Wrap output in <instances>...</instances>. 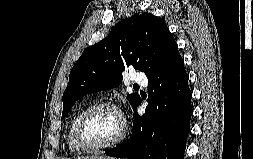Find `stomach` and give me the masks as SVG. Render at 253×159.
Returning a JSON list of instances; mask_svg holds the SVG:
<instances>
[{
  "mask_svg": "<svg viewBox=\"0 0 253 159\" xmlns=\"http://www.w3.org/2000/svg\"><path fill=\"white\" fill-rule=\"evenodd\" d=\"M102 159H116V158H102Z\"/></svg>",
  "mask_w": 253,
  "mask_h": 159,
  "instance_id": "0dacf381",
  "label": "stomach"
}]
</instances>
